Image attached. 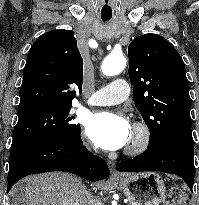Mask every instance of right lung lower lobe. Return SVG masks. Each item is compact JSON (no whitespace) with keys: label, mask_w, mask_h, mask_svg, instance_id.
Masks as SVG:
<instances>
[{"label":"right lung lower lobe","mask_w":199,"mask_h":205,"mask_svg":"<svg viewBox=\"0 0 199 205\" xmlns=\"http://www.w3.org/2000/svg\"><path fill=\"white\" fill-rule=\"evenodd\" d=\"M51 171L70 172L92 182L110 174L106 162L83 146L80 135L62 136L10 152L7 192L29 174Z\"/></svg>","instance_id":"98d812e1"}]
</instances>
